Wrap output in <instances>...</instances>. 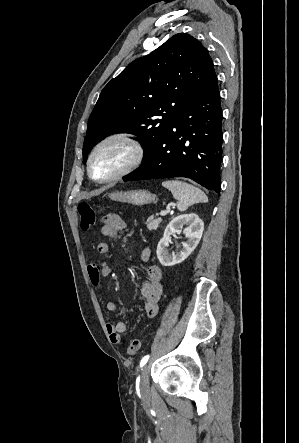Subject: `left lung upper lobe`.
I'll return each mask as SVG.
<instances>
[{
	"label": "left lung upper lobe",
	"instance_id": "1",
	"mask_svg": "<svg viewBox=\"0 0 299 443\" xmlns=\"http://www.w3.org/2000/svg\"><path fill=\"white\" fill-rule=\"evenodd\" d=\"M213 73L208 51L184 33L133 61L100 94L88 122L83 162L95 144L115 133L139 136L145 160Z\"/></svg>",
	"mask_w": 299,
	"mask_h": 443
}]
</instances>
